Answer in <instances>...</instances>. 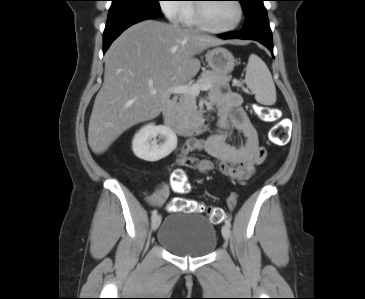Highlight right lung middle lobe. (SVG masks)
Listing matches in <instances>:
<instances>
[{"mask_svg": "<svg viewBox=\"0 0 365 299\" xmlns=\"http://www.w3.org/2000/svg\"><path fill=\"white\" fill-rule=\"evenodd\" d=\"M108 16L121 14L130 10L161 11L159 0H111Z\"/></svg>", "mask_w": 365, "mask_h": 299, "instance_id": "1", "label": "right lung middle lobe"}]
</instances>
